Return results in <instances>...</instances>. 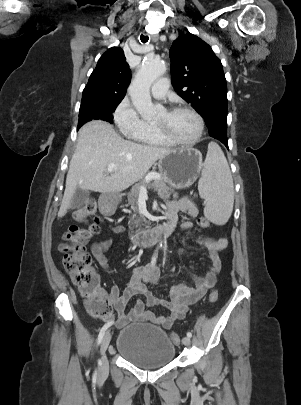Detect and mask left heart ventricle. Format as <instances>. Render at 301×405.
<instances>
[{
	"mask_svg": "<svg viewBox=\"0 0 301 405\" xmlns=\"http://www.w3.org/2000/svg\"><path fill=\"white\" fill-rule=\"evenodd\" d=\"M154 123L164 128L180 140H191L198 132V122L188 111L168 112L162 110L155 118Z\"/></svg>",
	"mask_w": 301,
	"mask_h": 405,
	"instance_id": "obj_1",
	"label": "left heart ventricle"
}]
</instances>
